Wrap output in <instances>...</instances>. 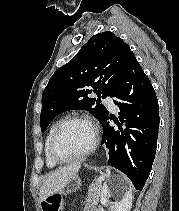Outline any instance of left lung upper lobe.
<instances>
[{
	"mask_svg": "<svg viewBox=\"0 0 179 211\" xmlns=\"http://www.w3.org/2000/svg\"><path fill=\"white\" fill-rule=\"evenodd\" d=\"M132 54L112 32L93 35L67 64L56 70L44 89L42 132L58 114L72 109L87 110L102 123L109 112L100 104V98L110 96ZM92 91L98 99L88 97Z\"/></svg>",
	"mask_w": 179,
	"mask_h": 211,
	"instance_id": "1",
	"label": "left lung upper lobe"
}]
</instances>
